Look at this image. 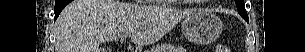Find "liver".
<instances>
[{
  "mask_svg": "<svg viewBox=\"0 0 305 52\" xmlns=\"http://www.w3.org/2000/svg\"><path fill=\"white\" fill-rule=\"evenodd\" d=\"M194 10L131 5L116 0H74L56 21V52H104L102 42L128 33L138 45L160 40Z\"/></svg>",
  "mask_w": 305,
  "mask_h": 52,
  "instance_id": "6515ba94",
  "label": "liver"
}]
</instances>
